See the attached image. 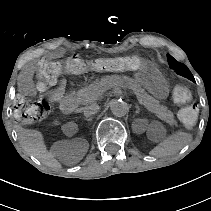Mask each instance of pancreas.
Masks as SVG:
<instances>
[{
	"label": "pancreas",
	"mask_w": 211,
	"mask_h": 211,
	"mask_svg": "<svg viewBox=\"0 0 211 211\" xmlns=\"http://www.w3.org/2000/svg\"><path fill=\"white\" fill-rule=\"evenodd\" d=\"M118 83H123L133 90L139 102L144 105L147 110L153 112L156 117L163 120L170 126L175 125L174 114L168 110L167 107L160 106L156 100L142 89L140 84L135 82L133 78L127 76L119 78L112 75H105L95 81L94 84L87 86L81 91L73 92L69 99V104L73 108H78L81 106L82 102L92 103L95 101L96 97L100 95V93L106 91L108 88L116 86Z\"/></svg>",
	"instance_id": "obj_1"
}]
</instances>
